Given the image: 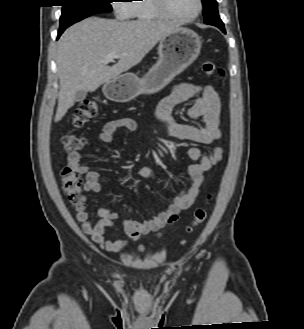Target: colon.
<instances>
[{"label":"colon","mask_w":304,"mask_h":329,"mask_svg":"<svg viewBox=\"0 0 304 329\" xmlns=\"http://www.w3.org/2000/svg\"><path fill=\"white\" fill-rule=\"evenodd\" d=\"M201 68L208 76L221 78L224 75V71L217 68L211 61L203 62ZM98 111L99 102L96 98H89L83 101L74 114L72 120L73 128L78 129L84 127L97 116ZM61 142L63 150L67 153H75L86 145V141L83 137L71 133L65 134ZM61 189L71 204L76 205L79 203L84 192V183L81 174L70 167L65 168L61 172ZM207 216L208 211L206 208L197 209L194 214V220L192 224L186 228V232L191 233L196 227L205 222Z\"/></svg>","instance_id":"colon-1"}]
</instances>
